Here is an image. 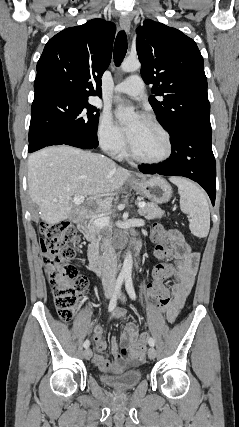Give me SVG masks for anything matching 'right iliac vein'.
<instances>
[{
  "label": "right iliac vein",
  "mask_w": 239,
  "mask_h": 427,
  "mask_svg": "<svg viewBox=\"0 0 239 427\" xmlns=\"http://www.w3.org/2000/svg\"><path fill=\"white\" fill-rule=\"evenodd\" d=\"M106 298H110L112 296V291H108L106 294ZM92 357V351L90 348H86L84 351V358L86 360H89Z\"/></svg>",
  "instance_id": "obj_1"
}]
</instances>
